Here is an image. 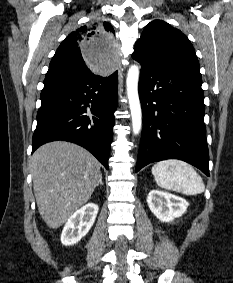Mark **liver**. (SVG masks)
I'll list each match as a JSON object with an SVG mask.
<instances>
[{"label":"liver","instance_id":"obj_1","mask_svg":"<svg viewBox=\"0 0 233 283\" xmlns=\"http://www.w3.org/2000/svg\"><path fill=\"white\" fill-rule=\"evenodd\" d=\"M33 190L39 213L52 229L62 226L99 184L98 160L84 148L54 141L31 157Z\"/></svg>","mask_w":233,"mask_h":283}]
</instances>
